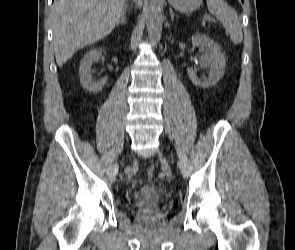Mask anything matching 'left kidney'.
Here are the masks:
<instances>
[{"mask_svg":"<svg viewBox=\"0 0 295 250\" xmlns=\"http://www.w3.org/2000/svg\"><path fill=\"white\" fill-rule=\"evenodd\" d=\"M192 45L197 46L203 52L201 66L210 67L209 76L199 78L197 70L188 68V76L193 84L202 88L213 87L222 77L225 70V55L220 51L219 46L207 35L196 33L191 38Z\"/></svg>","mask_w":295,"mask_h":250,"instance_id":"left-kidney-1","label":"left kidney"}]
</instances>
